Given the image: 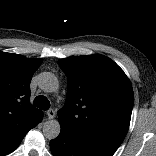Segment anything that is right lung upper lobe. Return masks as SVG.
<instances>
[{"label":"right lung upper lobe","mask_w":156,"mask_h":156,"mask_svg":"<svg viewBox=\"0 0 156 156\" xmlns=\"http://www.w3.org/2000/svg\"><path fill=\"white\" fill-rule=\"evenodd\" d=\"M41 63L42 59L0 51V142L10 144L42 116L30 103L29 88Z\"/></svg>","instance_id":"right-lung-upper-lobe-1"}]
</instances>
